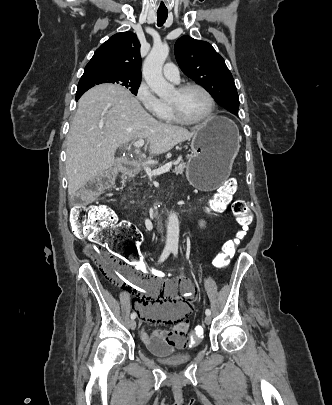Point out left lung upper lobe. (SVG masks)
Segmentation results:
<instances>
[{
	"mask_svg": "<svg viewBox=\"0 0 332 405\" xmlns=\"http://www.w3.org/2000/svg\"><path fill=\"white\" fill-rule=\"evenodd\" d=\"M174 50L184 74L210 92L220 106L230 112L231 108L238 110L239 97L233 76L212 45L183 36L176 41Z\"/></svg>",
	"mask_w": 332,
	"mask_h": 405,
	"instance_id": "1",
	"label": "left lung upper lobe"
}]
</instances>
